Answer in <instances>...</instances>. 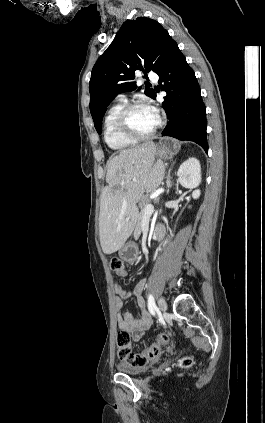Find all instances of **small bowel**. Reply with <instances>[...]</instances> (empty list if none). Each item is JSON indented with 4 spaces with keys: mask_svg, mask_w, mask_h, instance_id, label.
Here are the masks:
<instances>
[{
    "mask_svg": "<svg viewBox=\"0 0 265 423\" xmlns=\"http://www.w3.org/2000/svg\"><path fill=\"white\" fill-rule=\"evenodd\" d=\"M158 227L164 226L157 225L156 228ZM115 274L119 277H125L127 275V271L124 268L121 272ZM145 287V278H141L140 280H138L132 293L127 292L117 282H113V306L116 311V321L118 327L129 332L134 341L141 340V338L146 334L153 322L152 317L147 312L145 300L143 298ZM132 296L136 298L137 307L141 313L139 317H135L129 312H120L121 308L123 307V301Z\"/></svg>",
    "mask_w": 265,
    "mask_h": 423,
    "instance_id": "small-bowel-1",
    "label": "small bowel"
}]
</instances>
